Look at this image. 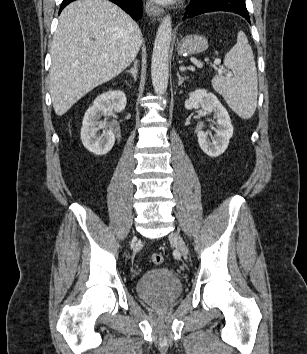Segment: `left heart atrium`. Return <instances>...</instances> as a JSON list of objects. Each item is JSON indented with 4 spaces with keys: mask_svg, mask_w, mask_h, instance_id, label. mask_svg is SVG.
I'll list each match as a JSON object with an SVG mask.
<instances>
[{
    "mask_svg": "<svg viewBox=\"0 0 307 354\" xmlns=\"http://www.w3.org/2000/svg\"><path fill=\"white\" fill-rule=\"evenodd\" d=\"M156 1L164 2V1H167V0H156Z\"/></svg>",
    "mask_w": 307,
    "mask_h": 354,
    "instance_id": "1",
    "label": "left heart atrium"
}]
</instances>
